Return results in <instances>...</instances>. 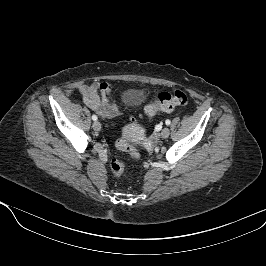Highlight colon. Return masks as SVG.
<instances>
[{"label": "colon", "instance_id": "colon-1", "mask_svg": "<svg viewBox=\"0 0 266 266\" xmlns=\"http://www.w3.org/2000/svg\"><path fill=\"white\" fill-rule=\"evenodd\" d=\"M187 104V96L181 90H176L172 93L161 92L157 97L147 104L144 108V114L153 116L157 111L169 112L177 107H183ZM134 122L135 119H132ZM116 147L128 153L132 158L138 159L139 153L134 146L125 137H120L116 141ZM110 169L115 177H120L125 169V163L119 159H113L110 163Z\"/></svg>", "mask_w": 266, "mask_h": 266}]
</instances>
